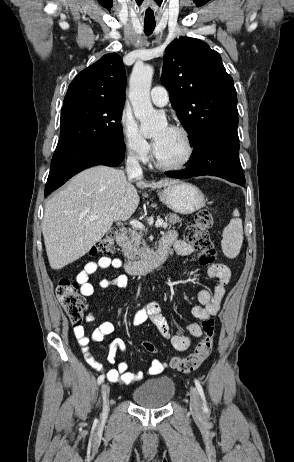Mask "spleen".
Listing matches in <instances>:
<instances>
[{
    "instance_id": "spleen-1",
    "label": "spleen",
    "mask_w": 294,
    "mask_h": 462,
    "mask_svg": "<svg viewBox=\"0 0 294 462\" xmlns=\"http://www.w3.org/2000/svg\"><path fill=\"white\" fill-rule=\"evenodd\" d=\"M237 209L233 212V219L223 230L221 242L222 250L228 258H235L241 249L243 242V226Z\"/></svg>"
}]
</instances>
